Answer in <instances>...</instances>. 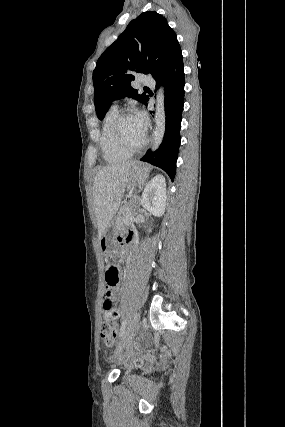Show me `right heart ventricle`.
<instances>
[{"label":"right heart ventricle","mask_w":285,"mask_h":427,"mask_svg":"<svg viewBox=\"0 0 285 427\" xmlns=\"http://www.w3.org/2000/svg\"><path fill=\"white\" fill-rule=\"evenodd\" d=\"M117 106H112L106 113L100 134V148L103 158L109 163H117L128 160L132 153L124 151L118 146L113 135V126L119 115Z\"/></svg>","instance_id":"1"}]
</instances>
